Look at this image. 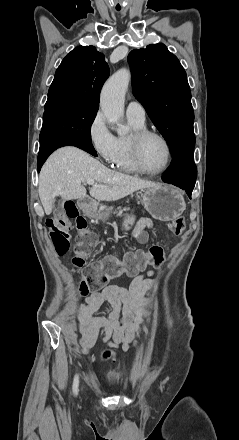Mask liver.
I'll use <instances>...</instances> for the list:
<instances>
[{
  "instance_id": "liver-1",
  "label": "liver",
  "mask_w": 239,
  "mask_h": 440,
  "mask_svg": "<svg viewBox=\"0 0 239 440\" xmlns=\"http://www.w3.org/2000/svg\"><path fill=\"white\" fill-rule=\"evenodd\" d=\"M87 180L98 182L99 188H90L89 194L103 202H115L137 190L160 186L109 170L86 152L68 146L51 154L39 174L38 192L45 214H51L56 196H61L62 200L86 198V188L82 184Z\"/></svg>"
}]
</instances>
